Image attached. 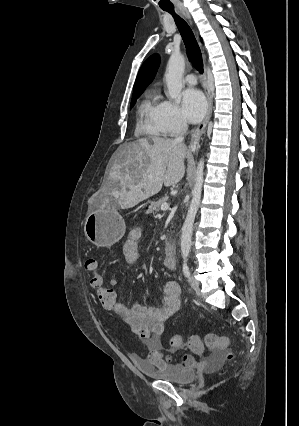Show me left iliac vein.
I'll return each instance as SVG.
<instances>
[{"label":"left iliac vein","mask_w":299,"mask_h":426,"mask_svg":"<svg viewBox=\"0 0 299 426\" xmlns=\"http://www.w3.org/2000/svg\"><path fill=\"white\" fill-rule=\"evenodd\" d=\"M188 281H189L191 287L194 290H199V288H200V282L197 279H195L194 277H189Z\"/></svg>","instance_id":"1"}]
</instances>
